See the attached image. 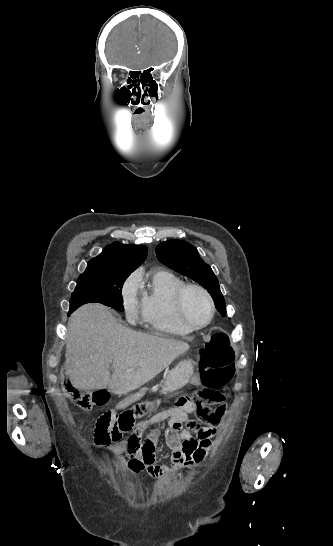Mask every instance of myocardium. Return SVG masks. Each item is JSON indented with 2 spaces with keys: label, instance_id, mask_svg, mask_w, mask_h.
Instances as JSON below:
<instances>
[{
  "label": "myocardium",
  "instance_id": "1",
  "mask_svg": "<svg viewBox=\"0 0 333 546\" xmlns=\"http://www.w3.org/2000/svg\"><path fill=\"white\" fill-rule=\"evenodd\" d=\"M191 290H195V291L200 292L206 298V300H207V302L209 304L210 316H209L208 320L206 322H204L203 324L197 325V324L192 323L189 320V318L187 317V315H186V312H185V298H186L187 293L189 291H191ZM174 307H175L176 314H177L179 320L181 321V323L184 326H186L187 328H189L190 330H192V331L200 330V329H203V328L207 327L213 321V319L215 317V313H216V306H215L213 297L211 296L209 291L207 289H205L204 287H202L201 285L193 284V283H185L183 286H181L177 290V292L175 294V297H174Z\"/></svg>",
  "mask_w": 333,
  "mask_h": 546
}]
</instances>
